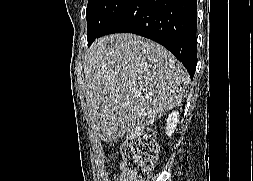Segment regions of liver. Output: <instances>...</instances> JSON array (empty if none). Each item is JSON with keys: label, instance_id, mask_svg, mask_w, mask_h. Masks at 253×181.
<instances>
[{"label": "liver", "instance_id": "1", "mask_svg": "<svg viewBox=\"0 0 253 181\" xmlns=\"http://www.w3.org/2000/svg\"><path fill=\"white\" fill-rule=\"evenodd\" d=\"M83 64L89 119L109 142L153 124L182 101L189 82L167 49L130 33L96 40Z\"/></svg>", "mask_w": 253, "mask_h": 181}]
</instances>
